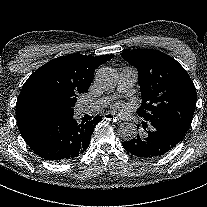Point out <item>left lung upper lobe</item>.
<instances>
[{"mask_svg": "<svg viewBox=\"0 0 207 207\" xmlns=\"http://www.w3.org/2000/svg\"><path fill=\"white\" fill-rule=\"evenodd\" d=\"M121 56L138 70L142 104L137 114L150 124L170 127L184 137L197 100L195 86L186 70L158 50H134Z\"/></svg>", "mask_w": 207, "mask_h": 207, "instance_id": "5c2ea615", "label": "left lung upper lobe"}]
</instances>
